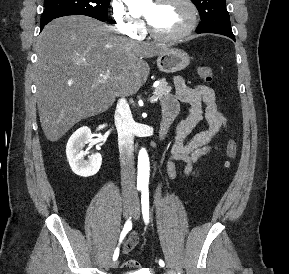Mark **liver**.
Masks as SVG:
<instances>
[{
    "mask_svg": "<svg viewBox=\"0 0 289 274\" xmlns=\"http://www.w3.org/2000/svg\"><path fill=\"white\" fill-rule=\"evenodd\" d=\"M167 49L116 35L112 27L87 16L50 22L36 43L35 69L46 138L56 142L79 121L109 109L120 94L136 93L150 73L143 59Z\"/></svg>",
    "mask_w": 289,
    "mask_h": 274,
    "instance_id": "liver-1",
    "label": "liver"
}]
</instances>
